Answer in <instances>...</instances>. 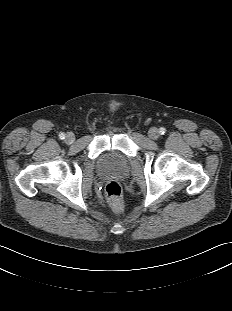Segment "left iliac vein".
Listing matches in <instances>:
<instances>
[{"label":"left iliac vein","mask_w":232,"mask_h":311,"mask_svg":"<svg viewBox=\"0 0 232 311\" xmlns=\"http://www.w3.org/2000/svg\"><path fill=\"white\" fill-rule=\"evenodd\" d=\"M159 131H158V129L157 128H151L150 130H149V132H148V136L150 137V139H152V140H156V139H158L159 138Z\"/></svg>","instance_id":"4c4485c4"}]
</instances>
